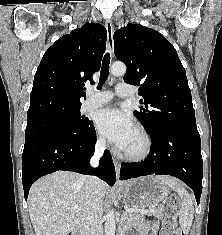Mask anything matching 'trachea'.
<instances>
[{"label":"trachea","instance_id":"1","mask_svg":"<svg viewBox=\"0 0 222 235\" xmlns=\"http://www.w3.org/2000/svg\"><path fill=\"white\" fill-rule=\"evenodd\" d=\"M109 65H110V54L106 53L103 61H102V67L100 71V79L98 83L97 89H101L105 81L108 79L109 76Z\"/></svg>","mask_w":222,"mask_h":235}]
</instances>
